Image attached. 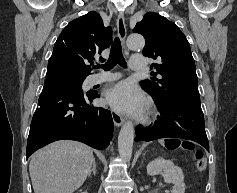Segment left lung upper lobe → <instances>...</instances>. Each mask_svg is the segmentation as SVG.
<instances>
[{"instance_id": "obj_1", "label": "left lung upper lobe", "mask_w": 237, "mask_h": 193, "mask_svg": "<svg viewBox=\"0 0 237 193\" xmlns=\"http://www.w3.org/2000/svg\"><path fill=\"white\" fill-rule=\"evenodd\" d=\"M134 32L146 40L144 56L157 60L152 78L140 82L154 100L173 103L179 100L200 101L194 59L188 40L178 26L165 17L149 12L138 22Z\"/></svg>"}]
</instances>
